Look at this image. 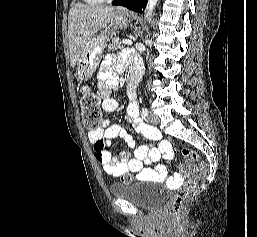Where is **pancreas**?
Segmentation results:
<instances>
[{"label": "pancreas", "mask_w": 257, "mask_h": 237, "mask_svg": "<svg viewBox=\"0 0 257 237\" xmlns=\"http://www.w3.org/2000/svg\"><path fill=\"white\" fill-rule=\"evenodd\" d=\"M120 48H122V46H121V41H118V40H116V39H113L112 40V42L109 44V46H108V49L110 50V51H112V50H117V49H120Z\"/></svg>", "instance_id": "cf45deb5"}]
</instances>
